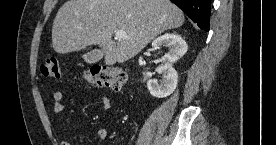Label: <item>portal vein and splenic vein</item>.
<instances>
[{
    "label": "portal vein and splenic vein",
    "mask_w": 276,
    "mask_h": 145,
    "mask_svg": "<svg viewBox=\"0 0 276 145\" xmlns=\"http://www.w3.org/2000/svg\"><path fill=\"white\" fill-rule=\"evenodd\" d=\"M114 34L117 38H129V36L126 35V33L123 30H115Z\"/></svg>",
    "instance_id": "portal-vein-and-splenic-vein-1"
}]
</instances>
